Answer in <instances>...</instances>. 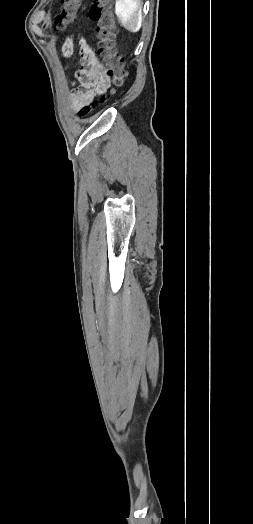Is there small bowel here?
Listing matches in <instances>:
<instances>
[{
	"instance_id": "c3829d8e",
	"label": "small bowel",
	"mask_w": 253,
	"mask_h": 524,
	"mask_svg": "<svg viewBox=\"0 0 253 524\" xmlns=\"http://www.w3.org/2000/svg\"><path fill=\"white\" fill-rule=\"evenodd\" d=\"M71 40V37H68ZM81 62L76 70L77 86L74 96L79 104H87L99 94H103L109 87V79L105 75L104 67L93 48L83 39L79 42ZM62 52H72L75 49L72 43H62L59 46Z\"/></svg>"
}]
</instances>
